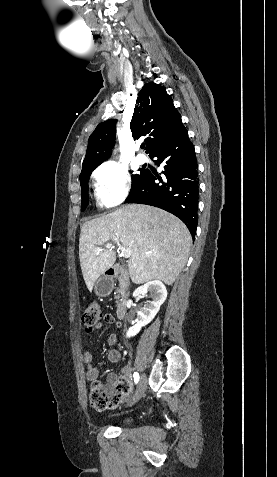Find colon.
Returning a JSON list of instances; mask_svg holds the SVG:
<instances>
[{
    "label": "colon",
    "mask_w": 277,
    "mask_h": 477,
    "mask_svg": "<svg viewBox=\"0 0 277 477\" xmlns=\"http://www.w3.org/2000/svg\"><path fill=\"white\" fill-rule=\"evenodd\" d=\"M102 316V308L97 302L88 303L82 311V322L86 331H94ZM129 392V384L123 381L108 384L95 382L92 385L89 402L95 411H106L115 408Z\"/></svg>",
    "instance_id": "1"
}]
</instances>
